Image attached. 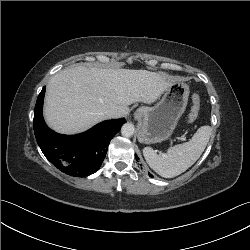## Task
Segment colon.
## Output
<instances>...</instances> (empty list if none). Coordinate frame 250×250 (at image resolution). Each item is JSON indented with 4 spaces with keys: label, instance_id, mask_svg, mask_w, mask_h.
<instances>
[{
    "label": "colon",
    "instance_id": "colon-1",
    "mask_svg": "<svg viewBox=\"0 0 250 250\" xmlns=\"http://www.w3.org/2000/svg\"><path fill=\"white\" fill-rule=\"evenodd\" d=\"M199 109H200V97L197 93H195L192 96V108L188 119L189 122H193L197 118Z\"/></svg>",
    "mask_w": 250,
    "mask_h": 250
}]
</instances>
